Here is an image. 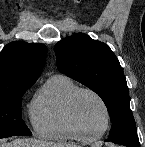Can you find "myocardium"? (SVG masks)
<instances>
[{
	"mask_svg": "<svg viewBox=\"0 0 145 147\" xmlns=\"http://www.w3.org/2000/svg\"><path fill=\"white\" fill-rule=\"evenodd\" d=\"M82 93H88L91 94L92 96H94L99 103L101 104L104 112H105V118H106V122H105V126L104 128L95 134H89L87 133L83 127L81 126L77 115L75 113V103H76V99L78 98V96ZM66 111H67V116L68 119L70 121V123L72 124L73 128L85 139V140H96L101 138L110 128L111 126V121H112V117H111V111L109 109V106L107 104V102L105 101V99L95 90L91 89V88H87V87H82V88H77L68 98L67 103H66Z\"/></svg>",
	"mask_w": 145,
	"mask_h": 147,
	"instance_id": "1",
	"label": "myocardium"
}]
</instances>
